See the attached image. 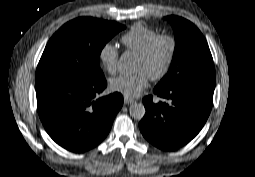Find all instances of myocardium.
Returning <instances> with one entry per match:
<instances>
[{
    "instance_id": "1",
    "label": "myocardium",
    "mask_w": 255,
    "mask_h": 177,
    "mask_svg": "<svg viewBox=\"0 0 255 177\" xmlns=\"http://www.w3.org/2000/svg\"><path fill=\"white\" fill-rule=\"evenodd\" d=\"M166 41L169 44V53L166 58V61L164 63V66L162 69L155 75L149 76V78L152 81H157L162 79L166 74L169 72L171 65L174 61L175 55H176V50H177V41L174 36L169 35V34H159L156 36L154 39H152L147 46L144 48V50L139 54V58L143 60H148L156 46L162 42Z\"/></svg>"
}]
</instances>
